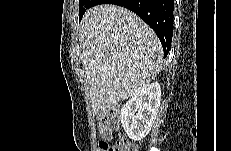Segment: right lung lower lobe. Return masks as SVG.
Listing matches in <instances>:
<instances>
[{
	"mask_svg": "<svg viewBox=\"0 0 231 151\" xmlns=\"http://www.w3.org/2000/svg\"><path fill=\"white\" fill-rule=\"evenodd\" d=\"M98 4H115L136 13L159 37L164 57L171 49L174 22L173 0H92L91 7Z\"/></svg>",
	"mask_w": 231,
	"mask_h": 151,
	"instance_id": "1",
	"label": "right lung lower lobe"
}]
</instances>
